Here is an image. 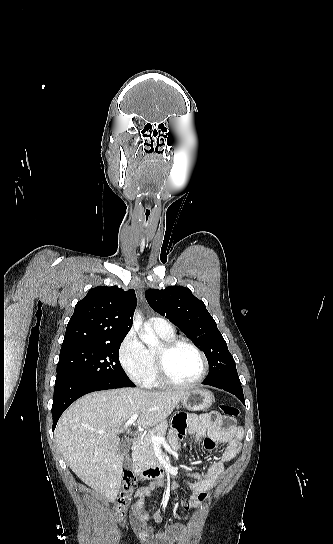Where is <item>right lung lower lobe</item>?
I'll list each match as a JSON object with an SVG mask.
<instances>
[{
  "instance_id": "right-lung-lower-lobe-1",
  "label": "right lung lower lobe",
  "mask_w": 333,
  "mask_h": 544,
  "mask_svg": "<svg viewBox=\"0 0 333 544\" xmlns=\"http://www.w3.org/2000/svg\"><path fill=\"white\" fill-rule=\"evenodd\" d=\"M135 387L134 384L120 385L103 382H88L76 377H56L52 405L53 431L65 409L79 397L94 391Z\"/></svg>"
}]
</instances>
